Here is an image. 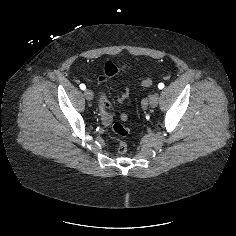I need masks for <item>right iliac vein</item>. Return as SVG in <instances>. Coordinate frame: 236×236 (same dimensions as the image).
Wrapping results in <instances>:
<instances>
[{
	"instance_id": "1",
	"label": "right iliac vein",
	"mask_w": 236,
	"mask_h": 236,
	"mask_svg": "<svg viewBox=\"0 0 236 236\" xmlns=\"http://www.w3.org/2000/svg\"><path fill=\"white\" fill-rule=\"evenodd\" d=\"M84 96H85V98L88 100V101H91V100H93V92L91 91V90H89V89H86L85 91H84Z\"/></svg>"
}]
</instances>
